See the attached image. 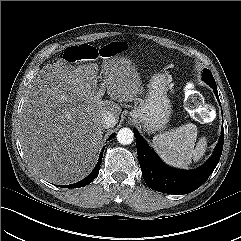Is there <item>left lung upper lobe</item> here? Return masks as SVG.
Wrapping results in <instances>:
<instances>
[{"label":"left lung upper lobe","mask_w":241,"mask_h":241,"mask_svg":"<svg viewBox=\"0 0 241 241\" xmlns=\"http://www.w3.org/2000/svg\"><path fill=\"white\" fill-rule=\"evenodd\" d=\"M203 79L208 83V84H216L215 80L213 78V75L210 70L204 69L203 72Z\"/></svg>","instance_id":"1"}]
</instances>
